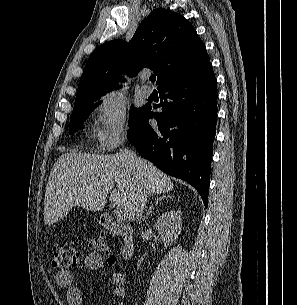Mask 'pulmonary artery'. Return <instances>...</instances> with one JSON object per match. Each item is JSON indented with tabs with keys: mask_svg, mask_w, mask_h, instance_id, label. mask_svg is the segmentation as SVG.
<instances>
[{
	"mask_svg": "<svg viewBox=\"0 0 297 305\" xmlns=\"http://www.w3.org/2000/svg\"><path fill=\"white\" fill-rule=\"evenodd\" d=\"M148 74L143 73L141 74L140 78L142 81H146L148 79ZM140 93L143 97H149L152 94V88L148 85H142L140 88Z\"/></svg>",
	"mask_w": 297,
	"mask_h": 305,
	"instance_id": "e3ab8cb5",
	"label": "pulmonary artery"
}]
</instances>
